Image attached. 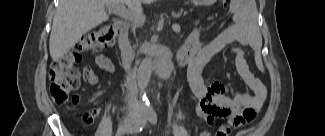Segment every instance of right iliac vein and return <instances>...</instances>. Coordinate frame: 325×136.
<instances>
[{
	"label": "right iliac vein",
	"mask_w": 325,
	"mask_h": 136,
	"mask_svg": "<svg viewBox=\"0 0 325 136\" xmlns=\"http://www.w3.org/2000/svg\"><path fill=\"white\" fill-rule=\"evenodd\" d=\"M133 124H134V122H129V121L123 123V124L119 127V129H118V131H117V133H116V136H122L125 132H127V131L130 130V128L132 127Z\"/></svg>",
	"instance_id": "right-iliac-vein-1"
}]
</instances>
